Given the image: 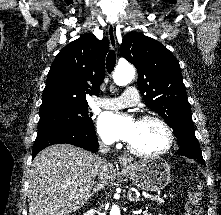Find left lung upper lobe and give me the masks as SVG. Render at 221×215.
Masks as SVG:
<instances>
[{
  "label": "left lung upper lobe",
  "mask_w": 221,
  "mask_h": 215,
  "mask_svg": "<svg viewBox=\"0 0 221 215\" xmlns=\"http://www.w3.org/2000/svg\"><path fill=\"white\" fill-rule=\"evenodd\" d=\"M121 55L138 71V87L149 108L173 129L181 148L200 151L181 69L160 42L137 32L124 36Z\"/></svg>",
  "instance_id": "1"
}]
</instances>
